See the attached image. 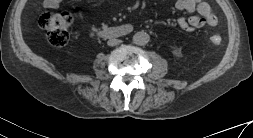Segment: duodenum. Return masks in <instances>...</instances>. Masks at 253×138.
Segmentation results:
<instances>
[{
	"instance_id": "1",
	"label": "duodenum",
	"mask_w": 253,
	"mask_h": 138,
	"mask_svg": "<svg viewBox=\"0 0 253 138\" xmlns=\"http://www.w3.org/2000/svg\"><path fill=\"white\" fill-rule=\"evenodd\" d=\"M130 31L127 26H119L113 28H107L100 32L101 35L109 38H117L128 34Z\"/></svg>"
}]
</instances>
